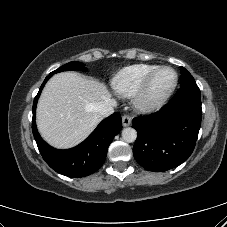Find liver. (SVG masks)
Returning a JSON list of instances; mask_svg holds the SVG:
<instances>
[{
    "label": "liver",
    "mask_w": 227,
    "mask_h": 227,
    "mask_svg": "<svg viewBox=\"0 0 227 227\" xmlns=\"http://www.w3.org/2000/svg\"><path fill=\"white\" fill-rule=\"evenodd\" d=\"M110 99L107 87L76 72L54 75L37 106L36 122L42 137L56 148L83 141L102 120L96 104Z\"/></svg>",
    "instance_id": "obj_1"
}]
</instances>
